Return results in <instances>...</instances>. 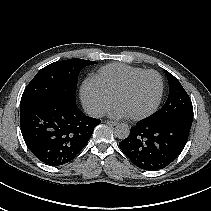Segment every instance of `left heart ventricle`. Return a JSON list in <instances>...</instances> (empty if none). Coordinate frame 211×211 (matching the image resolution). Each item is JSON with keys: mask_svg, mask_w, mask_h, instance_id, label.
Wrapping results in <instances>:
<instances>
[{"mask_svg": "<svg viewBox=\"0 0 211 211\" xmlns=\"http://www.w3.org/2000/svg\"><path fill=\"white\" fill-rule=\"evenodd\" d=\"M160 89L159 79L149 73L139 78L126 92L119 95L115 103L119 104L128 116L148 111L156 102Z\"/></svg>", "mask_w": 211, "mask_h": 211, "instance_id": "obj_1", "label": "left heart ventricle"}]
</instances>
